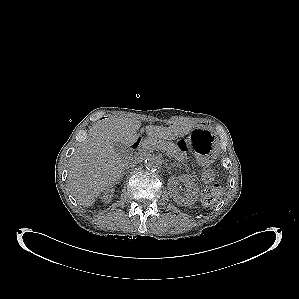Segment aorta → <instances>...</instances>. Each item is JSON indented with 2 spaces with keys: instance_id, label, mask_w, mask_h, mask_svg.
Returning <instances> with one entry per match:
<instances>
[{
  "instance_id": "1",
  "label": "aorta",
  "mask_w": 299,
  "mask_h": 299,
  "mask_svg": "<svg viewBox=\"0 0 299 299\" xmlns=\"http://www.w3.org/2000/svg\"><path fill=\"white\" fill-rule=\"evenodd\" d=\"M144 166L149 171H156L161 168L162 160L157 156H149L145 159Z\"/></svg>"
}]
</instances>
